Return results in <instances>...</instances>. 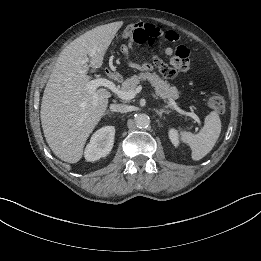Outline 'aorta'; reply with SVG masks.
<instances>
[{"label":"aorta","instance_id":"1","mask_svg":"<svg viewBox=\"0 0 261 261\" xmlns=\"http://www.w3.org/2000/svg\"><path fill=\"white\" fill-rule=\"evenodd\" d=\"M135 124L138 128H146L150 124V118L146 114H138L135 117Z\"/></svg>","mask_w":261,"mask_h":261}]
</instances>
